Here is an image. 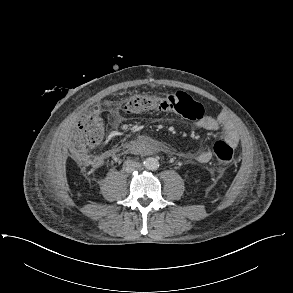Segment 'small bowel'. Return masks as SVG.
<instances>
[{"mask_svg": "<svg viewBox=\"0 0 293 293\" xmlns=\"http://www.w3.org/2000/svg\"><path fill=\"white\" fill-rule=\"evenodd\" d=\"M202 106V105H201ZM201 109H204L203 106ZM115 116L118 121H121V117L117 112ZM196 126L212 132L220 131L222 138L229 143L232 147H237L240 141V136L235 125L229 120L219 121L209 115L202 114L201 117L196 121ZM193 159L200 163H207L212 159V153L208 150H203L195 153Z\"/></svg>", "mask_w": 293, "mask_h": 293, "instance_id": "obj_1", "label": "small bowel"}]
</instances>
